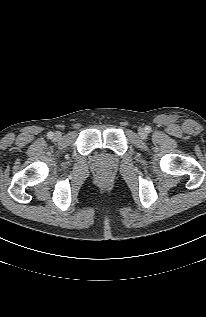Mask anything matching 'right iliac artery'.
I'll list each match as a JSON object with an SVG mask.
<instances>
[{
    "label": "right iliac artery",
    "instance_id": "right-iliac-artery-1",
    "mask_svg": "<svg viewBox=\"0 0 206 317\" xmlns=\"http://www.w3.org/2000/svg\"><path fill=\"white\" fill-rule=\"evenodd\" d=\"M53 135H54L53 132H49V133L47 134L48 138H50V139L53 137Z\"/></svg>",
    "mask_w": 206,
    "mask_h": 317
}]
</instances>
